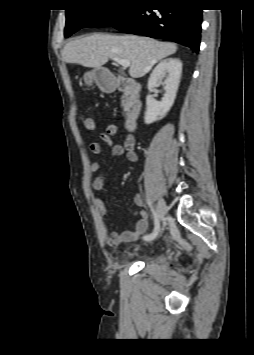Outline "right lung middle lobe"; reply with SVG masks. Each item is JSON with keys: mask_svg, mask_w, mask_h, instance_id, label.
<instances>
[{"mask_svg": "<svg viewBox=\"0 0 254 355\" xmlns=\"http://www.w3.org/2000/svg\"><path fill=\"white\" fill-rule=\"evenodd\" d=\"M120 2L97 3L96 8L67 9L65 37L83 27L111 26L133 5L146 0H119Z\"/></svg>", "mask_w": 254, "mask_h": 355, "instance_id": "right-lung-middle-lobe-1", "label": "right lung middle lobe"}]
</instances>
